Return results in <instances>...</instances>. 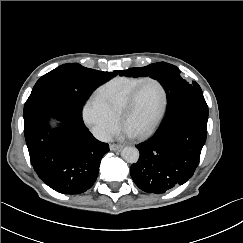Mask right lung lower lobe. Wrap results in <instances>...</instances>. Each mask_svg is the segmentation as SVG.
Wrapping results in <instances>:
<instances>
[{
  "label": "right lung lower lobe",
  "instance_id": "1",
  "mask_svg": "<svg viewBox=\"0 0 243 243\" xmlns=\"http://www.w3.org/2000/svg\"><path fill=\"white\" fill-rule=\"evenodd\" d=\"M61 122L54 130L49 119ZM24 135L32 166L55 191L80 194L96 181L109 145L95 139L83 123L81 111L65 99L31 94L24 105Z\"/></svg>",
  "mask_w": 243,
  "mask_h": 243
}]
</instances>
